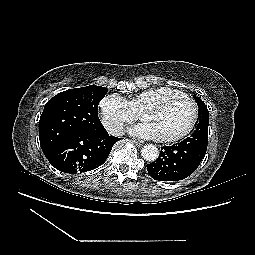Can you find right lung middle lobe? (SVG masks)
Wrapping results in <instances>:
<instances>
[{
  "instance_id": "1",
  "label": "right lung middle lobe",
  "mask_w": 255,
  "mask_h": 255,
  "mask_svg": "<svg viewBox=\"0 0 255 255\" xmlns=\"http://www.w3.org/2000/svg\"><path fill=\"white\" fill-rule=\"evenodd\" d=\"M108 89L96 85L63 91L46 103L39 120V139L44 155L77 131H104L97 109Z\"/></svg>"
}]
</instances>
